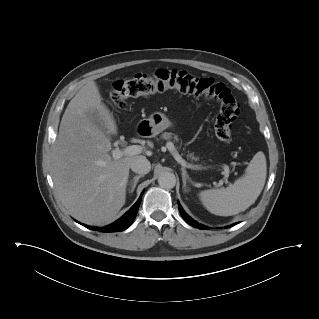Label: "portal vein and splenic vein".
<instances>
[{
  "label": "portal vein and splenic vein",
  "mask_w": 319,
  "mask_h": 319,
  "mask_svg": "<svg viewBox=\"0 0 319 319\" xmlns=\"http://www.w3.org/2000/svg\"><path fill=\"white\" fill-rule=\"evenodd\" d=\"M167 149L169 150V152L172 154V156L174 157V159L180 163L183 167L185 168H192V169H201V167H199L198 165H191L188 164L178 153V151L176 150L174 144L172 142H168L166 145ZM143 151V147H141L140 145H131V146H127L124 149H119V148H115L114 150H112V156L114 159H120L123 156H134V155H138L140 153H142ZM224 170H225V178L227 179L228 177V173H229V168L227 165L224 166Z\"/></svg>",
  "instance_id": "18ae733b"
}]
</instances>
